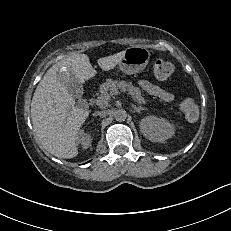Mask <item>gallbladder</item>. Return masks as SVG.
I'll return each mask as SVG.
<instances>
[{
  "label": "gallbladder",
  "mask_w": 231,
  "mask_h": 231,
  "mask_svg": "<svg viewBox=\"0 0 231 231\" xmlns=\"http://www.w3.org/2000/svg\"><path fill=\"white\" fill-rule=\"evenodd\" d=\"M56 79L61 85L66 87L71 96L80 97L83 89L80 81L75 78L73 70L67 66H61L55 73Z\"/></svg>",
  "instance_id": "obj_1"
}]
</instances>
